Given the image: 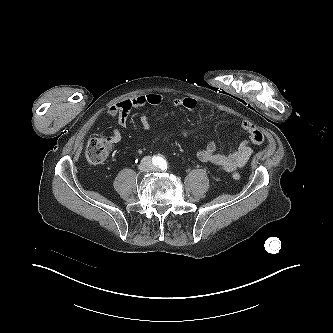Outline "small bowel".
<instances>
[{"label":"small bowel","instance_id":"obj_1","mask_svg":"<svg viewBox=\"0 0 333 333\" xmlns=\"http://www.w3.org/2000/svg\"><path fill=\"white\" fill-rule=\"evenodd\" d=\"M163 102L161 94L152 92L138 95L132 98L121 100L113 104L108 109V115L111 118H117L121 127L128 126L129 113L134 108H140L146 105L159 106ZM174 107H183L187 110H194L197 107V101L190 96L174 98L171 101ZM142 130L146 133L151 131V125L148 116L140 117ZM242 129L247 133V139L243 140L237 149L231 154L224 155L217 151L215 142H209L207 145L197 151V158L204 163L213 165L217 170L224 172H235L243 168L250 160L253 150L250 144L262 145L265 142L263 133L250 121L245 120L241 123ZM112 138L115 142L121 138L120 132L117 129L113 130Z\"/></svg>","mask_w":333,"mask_h":333}]
</instances>
